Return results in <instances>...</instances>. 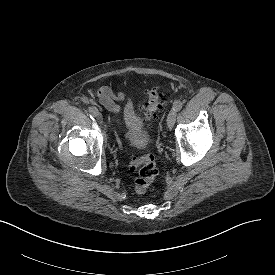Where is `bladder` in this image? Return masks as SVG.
<instances>
[{"label":"bladder","mask_w":275,"mask_h":275,"mask_svg":"<svg viewBox=\"0 0 275 275\" xmlns=\"http://www.w3.org/2000/svg\"><path fill=\"white\" fill-rule=\"evenodd\" d=\"M123 125L132 133L131 142L141 148L146 142L141 124L136 117L134 102L131 99L125 100L120 109Z\"/></svg>","instance_id":"31cf9c89"}]
</instances>
